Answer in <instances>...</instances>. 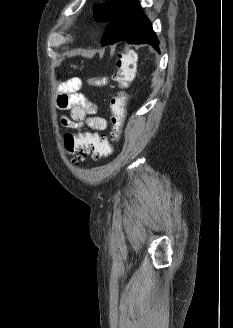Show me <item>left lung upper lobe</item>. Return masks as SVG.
I'll return each instance as SVG.
<instances>
[{
	"mask_svg": "<svg viewBox=\"0 0 233 328\" xmlns=\"http://www.w3.org/2000/svg\"><path fill=\"white\" fill-rule=\"evenodd\" d=\"M129 1L130 0L106 1L103 4L94 7V15L98 20L110 23Z\"/></svg>",
	"mask_w": 233,
	"mask_h": 328,
	"instance_id": "5c2ea615",
	"label": "left lung upper lobe"
}]
</instances>
